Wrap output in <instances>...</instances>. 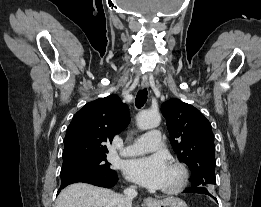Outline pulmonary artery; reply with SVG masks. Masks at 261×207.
I'll return each mask as SVG.
<instances>
[{
    "label": "pulmonary artery",
    "instance_id": "e3ab8cb5",
    "mask_svg": "<svg viewBox=\"0 0 261 207\" xmlns=\"http://www.w3.org/2000/svg\"><path fill=\"white\" fill-rule=\"evenodd\" d=\"M161 145V133L158 130H152L145 133L135 142L128 145L123 149L122 155L124 156H135L152 152L160 148Z\"/></svg>",
    "mask_w": 261,
    "mask_h": 207
}]
</instances>
